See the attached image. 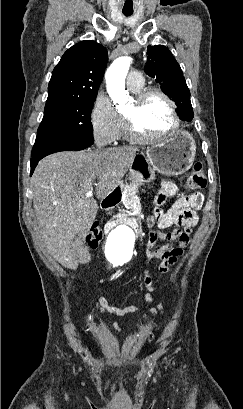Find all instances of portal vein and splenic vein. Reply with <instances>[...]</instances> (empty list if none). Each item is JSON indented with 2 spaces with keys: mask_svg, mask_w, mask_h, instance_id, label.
<instances>
[{
  "mask_svg": "<svg viewBox=\"0 0 243 409\" xmlns=\"http://www.w3.org/2000/svg\"><path fill=\"white\" fill-rule=\"evenodd\" d=\"M92 196H93V192H92V191H88V192H86V194H85V197H86V198H92Z\"/></svg>",
  "mask_w": 243,
  "mask_h": 409,
  "instance_id": "portal-vein-and-splenic-vein-1",
  "label": "portal vein and splenic vein"
}]
</instances>
